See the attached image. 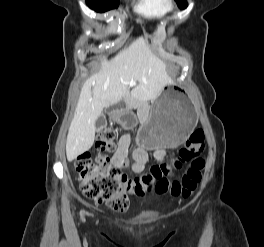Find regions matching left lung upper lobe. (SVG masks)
I'll return each instance as SVG.
<instances>
[{"label":"left lung upper lobe","mask_w":264,"mask_h":247,"mask_svg":"<svg viewBox=\"0 0 264 247\" xmlns=\"http://www.w3.org/2000/svg\"><path fill=\"white\" fill-rule=\"evenodd\" d=\"M178 6L182 9L186 8L188 6L186 0H176Z\"/></svg>","instance_id":"obj_1"}]
</instances>
